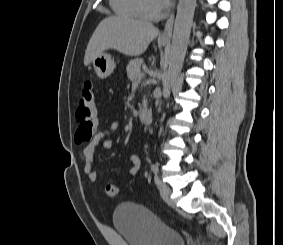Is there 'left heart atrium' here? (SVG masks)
<instances>
[{
  "label": "left heart atrium",
  "mask_w": 283,
  "mask_h": 245,
  "mask_svg": "<svg viewBox=\"0 0 283 245\" xmlns=\"http://www.w3.org/2000/svg\"><path fill=\"white\" fill-rule=\"evenodd\" d=\"M158 3L162 6V8L166 7L171 0H157Z\"/></svg>",
  "instance_id": "left-heart-atrium-1"
}]
</instances>
